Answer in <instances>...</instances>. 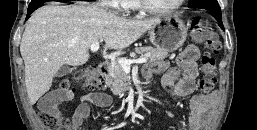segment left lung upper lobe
I'll return each instance as SVG.
<instances>
[{
    "label": "left lung upper lobe",
    "mask_w": 257,
    "mask_h": 130,
    "mask_svg": "<svg viewBox=\"0 0 257 130\" xmlns=\"http://www.w3.org/2000/svg\"><path fill=\"white\" fill-rule=\"evenodd\" d=\"M189 7L202 8L206 10H219L217 0H189Z\"/></svg>",
    "instance_id": "left-lung-upper-lobe-1"
}]
</instances>
